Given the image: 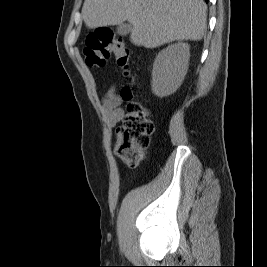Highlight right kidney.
<instances>
[{
  "label": "right kidney",
  "mask_w": 267,
  "mask_h": 267,
  "mask_svg": "<svg viewBox=\"0 0 267 267\" xmlns=\"http://www.w3.org/2000/svg\"><path fill=\"white\" fill-rule=\"evenodd\" d=\"M190 46L178 42L158 53L152 70L151 90L162 98L174 93L182 84L188 70Z\"/></svg>",
  "instance_id": "right-kidney-1"
}]
</instances>
